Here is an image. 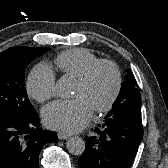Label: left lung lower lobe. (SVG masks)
<instances>
[{
	"label": "left lung lower lobe",
	"mask_w": 168,
	"mask_h": 168,
	"mask_svg": "<svg viewBox=\"0 0 168 168\" xmlns=\"http://www.w3.org/2000/svg\"><path fill=\"white\" fill-rule=\"evenodd\" d=\"M95 132L85 138L79 168H130L143 136L141 111L107 114L101 129Z\"/></svg>",
	"instance_id": "0a47b994"
}]
</instances>
